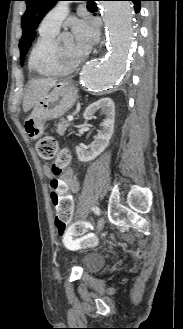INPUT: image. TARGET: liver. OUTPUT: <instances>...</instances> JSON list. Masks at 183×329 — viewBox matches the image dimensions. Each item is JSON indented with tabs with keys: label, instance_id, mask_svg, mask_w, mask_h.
<instances>
[{
	"label": "liver",
	"instance_id": "obj_1",
	"mask_svg": "<svg viewBox=\"0 0 183 329\" xmlns=\"http://www.w3.org/2000/svg\"><path fill=\"white\" fill-rule=\"evenodd\" d=\"M56 85V80L39 78L32 80L23 100V111L28 112L49 90Z\"/></svg>",
	"mask_w": 183,
	"mask_h": 329
}]
</instances>
